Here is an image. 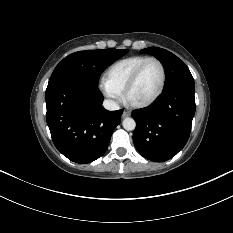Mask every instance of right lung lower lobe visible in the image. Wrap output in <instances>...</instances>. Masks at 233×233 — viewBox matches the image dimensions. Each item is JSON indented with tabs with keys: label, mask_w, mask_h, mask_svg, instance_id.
Masks as SVG:
<instances>
[{
	"label": "right lung lower lobe",
	"mask_w": 233,
	"mask_h": 233,
	"mask_svg": "<svg viewBox=\"0 0 233 233\" xmlns=\"http://www.w3.org/2000/svg\"><path fill=\"white\" fill-rule=\"evenodd\" d=\"M104 98L90 83L58 80L46 89L47 124L55 147L76 163L103 155L122 110L107 111Z\"/></svg>",
	"instance_id": "obj_1"
}]
</instances>
